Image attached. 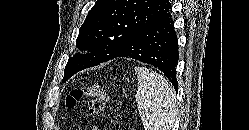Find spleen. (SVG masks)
Listing matches in <instances>:
<instances>
[{
  "instance_id": "1",
  "label": "spleen",
  "mask_w": 249,
  "mask_h": 130,
  "mask_svg": "<svg viewBox=\"0 0 249 130\" xmlns=\"http://www.w3.org/2000/svg\"><path fill=\"white\" fill-rule=\"evenodd\" d=\"M138 90L136 103L145 130H171L177 115L176 96L159 73L136 67Z\"/></svg>"
}]
</instances>
